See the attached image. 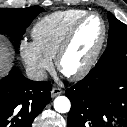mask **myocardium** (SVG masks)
Wrapping results in <instances>:
<instances>
[{
    "label": "myocardium",
    "instance_id": "obj_1",
    "mask_svg": "<svg viewBox=\"0 0 127 127\" xmlns=\"http://www.w3.org/2000/svg\"><path fill=\"white\" fill-rule=\"evenodd\" d=\"M92 16H96L97 18H99L102 24V35H101L100 41L98 45L96 46V48L94 49L91 56L89 57V59L86 61V63L81 68H79L78 70L72 73H65L63 70L64 58L66 57L72 45V42L75 38V35L78 29L88 18ZM106 36H107V25L103 17L97 12L85 13L83 16H81L78 20L74 22V24L70 27V29L68 30L67 34L64 37L57 51V54L55 56V64H56L57 69L71 80H79L83 78L84 76H86L91 71V69L94 67L95 63L97 62L98 57L104 47Z\"/></svg>",
    "mask_w": 127,
    "mask_h": 127
}]
</instances>
